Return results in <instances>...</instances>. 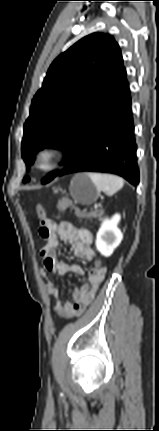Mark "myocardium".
I'll use <instances>...</instances> for the list:
<instances>
[{
    "label": "myocardium",
    "instance_id": "f54148a6",
    "mask_svg": "<svg viewBox=\"0 0 159 431\" xmlns=\"http://www.w3.org/2000/svg\"><path fill=\"white\" fill-rule=\"evenodd\" d=\"M62 156V151L56 146L45 145L36 150L33 161L38 170L50 172L58 167Z\"/></svg>",
    "mask_w": 159,
    "mask_h": 431
}]
</instances>
